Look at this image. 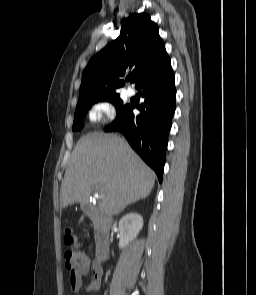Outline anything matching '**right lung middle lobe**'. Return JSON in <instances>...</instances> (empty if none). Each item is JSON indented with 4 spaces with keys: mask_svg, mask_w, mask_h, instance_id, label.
Returning <instances> with one entry per match:
<instances>
[{
    "mask_svg": "<svg viewBox=\"0 0 256 295\" xmlns=\"http://www.w3.org/2000/svg\"><path fill=\"white\" fill-rule=\"evenodd\" d=\"M108 101L111 102L117 109V116L124 112L129 104L123 105V101L119 95L105 97V98H83L78 100L77 108L75 111L74 123L72 130H81L84 126L83 120L88 109L96 102Z\"/></svg>",
    "mask_w": 256,
    "mask_h": 295,
    "instance_id": "right-lung-middle-lobe-1",
    "label": "right lung middle lobe"
}]
</instances>
